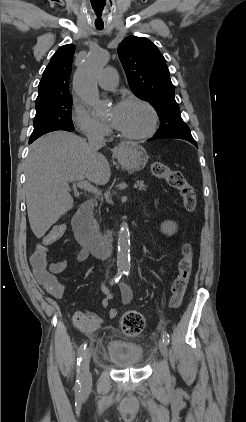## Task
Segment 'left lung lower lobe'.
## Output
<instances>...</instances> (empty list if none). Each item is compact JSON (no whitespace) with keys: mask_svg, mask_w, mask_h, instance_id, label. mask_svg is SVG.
<instances>
[{"mask_svg":"<svg viewBox=\"0 0 246 422\" xmlns=\"http://www.w3.org/2000/svg\"><path fill=\"white\" fill-rule=\"evenodd\" d=\"M163 138H179V139H183L186 141H189L190 143H192L193 145H195L197 147V144L195 142V140L193 139L192 135L191 136H153L150 140H156V139H163Z\"/></svg>","mask_w":246,"mask_h":422,"instance_id":"1","label":"left lung lower lobe"}]
</instances>
